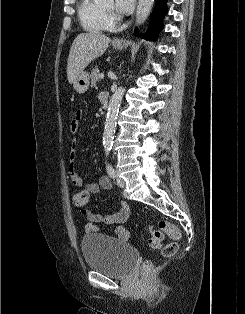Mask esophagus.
<instances>
[{
    "label": "esophagus",
    "instance_id": "obj_1",
    "mask_svg": "<svg viewBox=\"0 0 245 314\" xmlns=\"http://www.w3.org/2000/svg\"><path fill=\"white\" fill-rule=\"evenodd\" d=\"M113 43L120 44V43H122V39H120V38H115V39L113 40Z\"/></svg>",
    "mask_w": 245,
    "mask_h": 314
}]
</instances>
